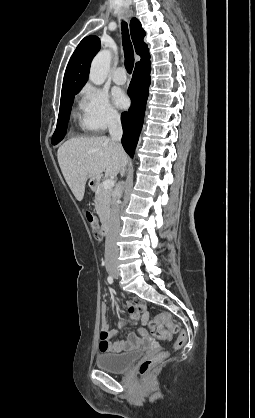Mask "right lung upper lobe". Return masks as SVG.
I'll return each mask as SVG.
<instances>
[{
    "label": "right lung upper lobe",
    "mask_w": 255,
    "mask_h": 418,
    "mask_svg": "<svg viewBox=\"0 0 255 418\" xmlns=\"http://www.w3.org/2000/svg\"><path fill=\"white\" fill-rule=\"evenodd\" d=\"M130 32L135 51L141 56V60L136 63L135 67L149 63V50L147 44L143 41L145 31L142 29L138 19H131ZM99 50L100 40L97 36L91 35L85 37L79 43L67 65L63 79L62 93L80 90L84 86L88 78L90 63Z\"/></svg>",
    "instance_id": "right-lung-upper-lobe-1"
}]
</instances>
